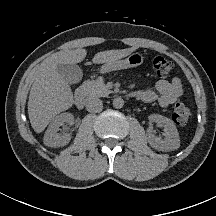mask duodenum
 Segmentation results:
<instances>
[{
  "label": "duodenum",
  "mask_w": 216,
  "mask_h": 216,
  "mask_svg": "<svg viewBox=\"0 0 216 216\" xmlns=\"http://www.w3.org/2000/svg\"><path fill=\"white\" fill-rule=\"evenodd\" d=\"M86 96H87V86L86 85H81L75 94V101L76 105L79 109L84 108L85 102H86ZM129 96L134 97V98H141V94L139 92H129Z\"/></svg>",
  "instance_id": "obj_1"
}]
</instances>
